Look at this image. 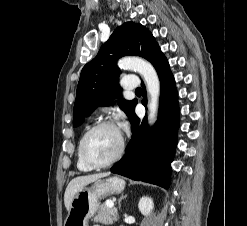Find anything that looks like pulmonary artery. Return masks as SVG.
<instances>
[{"label":"pulmonary artery","instance_id":"obj_1","mask_svg":"<svg viewBox=\"0 0 247 226\" xmlns=\"http://www.w3.org/2000/svg\"><path fill=\"white\" fill-rule=\"evenodd\" d=\"M140 85L139 80L136 76H126L122 80V87L125 90H134L138 88Z\"/></svg>","mask_w":247,"mask_h":226}]
</instances>
